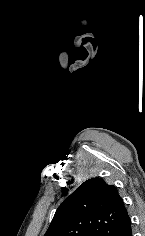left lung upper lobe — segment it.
I'll return each mask as SVG.
<instances>
[{
    "instance_id": "5c2ea615",
    "label": "left lung upper lobe",
    "mask_w": 145,
    "mask_h": 236,
    "mask_svg": "<svg viewBox=\"0 0 145 236\" xmlns=\"http://www.w3.org/2000/svg\"><path fill=\"white\" fill-rule=\"evenodd\" d=\"M130 221L116 187L93 178L61 203L44 236H118Z\"/></svg>"
}]
</instances>
